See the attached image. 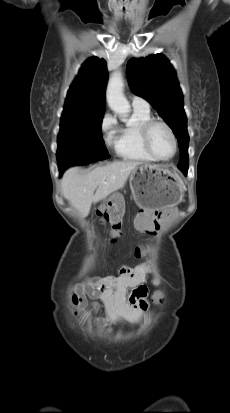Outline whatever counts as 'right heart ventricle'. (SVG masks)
Listing matches in <instances>:
<instances>
[{"label":"right heart ventricle","instance_id":"1","mask_svg":"<svg viewBox=\"0 0 230 413\" xmlns=\"http://www.w3.org/2000/svg\"><path fill=\"white\" fill-rule=\"evenodd\" d=\"M132 124L121 127L114 144V150L118 157L135 162H152L154 159L148 155L143 147L140 135L141 126L151 119L149 109L133 107Z\"/></svg>","mask_w":230,"mask_h":413}]
</instances>
